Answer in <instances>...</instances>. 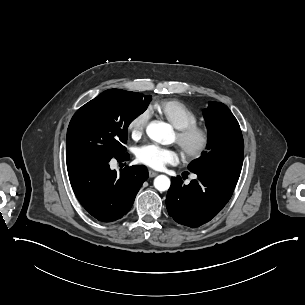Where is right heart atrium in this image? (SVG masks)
<instances>
[{
  "instance_id": "right-heart-atrium-1",
  "label": "right heart atrium",
  "mask_w": 305,
  "mask_h": 305,
  "mask_svg": "<svg viewBox=\"0 0 305 305\" xmlns=\"http://www.w3.org/2000/svg\"><path fill=\"white\" fill-rule=\"evenodd\" d=\"M150 111L144 109L135 114L128 123V131L132 138H139L149 119Z\"/></svg>"
}]
</instances>
